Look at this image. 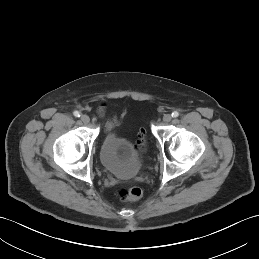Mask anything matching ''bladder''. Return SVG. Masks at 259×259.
Wrapping results in <instances>:
<instances>
[{
  "label": "bladder",
  "mask_w": 259,
  "mask_h": 259,
  "mask_svg": "<svg viewBox=\"0 0 259 259\" xmlns=\"http://www.w3.org/2000/svg\"><path fill=\"white\" fill-rule=\"evenodd\" d=\"M99 159L110 173L124 178L136 176L141 162L134 144L117 132H109L102 140Z\"/></svg>",
  "instance_id": "31cf9c89"
}]
</instances>
